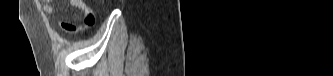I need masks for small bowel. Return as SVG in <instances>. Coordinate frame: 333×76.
Returning a JSON list of instances; mask_svg holds the SVG:
<instances>
[{"label":"small bowel","instance_id":"1","mask_svg":"<svg viewBox=\"0 0 333 76\" xmlns=\"http://www.w3.org/2000/svg\"><path fill=\"white\" fill-rule=\"evenodd\" d=\"M69 2L71 4V6L77 8L83 12V15H84V26L83 27H89L94 24V21H95L94 14L83 0H70ZM44 11L49 16L55 15L56 11L53 6V2L51 0L45 1ZM60 25L65 31H68V32H70L74 29V26L67 21L60 22Z\"/></svg>","mask_w":333,"mask_h":76}]
</instances>
